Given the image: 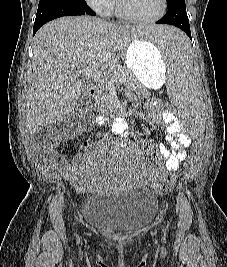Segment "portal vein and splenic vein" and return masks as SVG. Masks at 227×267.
Instances as JSON below:
<instances>
[{"mask_svg":"<svg viewBox=\"0 0 227 267\" xmlns=\"http://www.w3.org/2000/svg\"><path fill=\"white\" fill-rule=\"evenodd\" d=\"M75 75L79 76V75H83L89 78L94 79L95 81H101L104 76L101 73V71H99L94 64L89 65L83 69H79L77 71H75Z\"/></svg>","mask_w":227,"mask_h":267,"instance_id":"1","label":"portal vein and splenic vein"}]
</instances>
